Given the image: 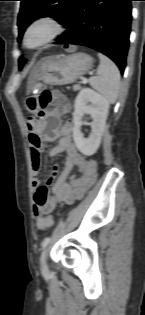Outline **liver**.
Wrapping results in <instances>:
<instances>
[{
	"label": "liver",
	"mask_w": 145,
	"mask_h": 315,
	"mask_svg": "<svg viewBox=\"0 0 145 315\" xmlns=\"http://www.w3.org/2000/svg\"><path fill=\"white\" fill-rule=\"evenodd\" d=\"M43 67L42 63H39L32 71L31 76L29 78V86L34 83Z\"/></svg>",
	"instance_id": "obj_1"
}]
</instances>
